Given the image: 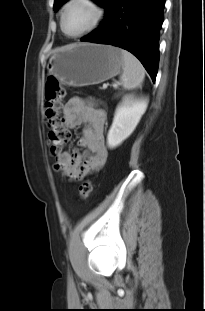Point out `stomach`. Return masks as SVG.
<instances>
[{"label": "stomach", "mask_w": 205, "mask_h": 311, "mask_svg": "<svg viewBox=\"0 0 205 311\" xmlns=\"http://www.w3.org/2000/svg\"><path fill=\"white\" fill-rule=\"evenodd\" d=\"M123 66L120 48L79 43L55 50L47 69L60 83L81 87L102 83L118 75Z\"/></svg>", "instance_id": "obj_1"}]
</instances>
